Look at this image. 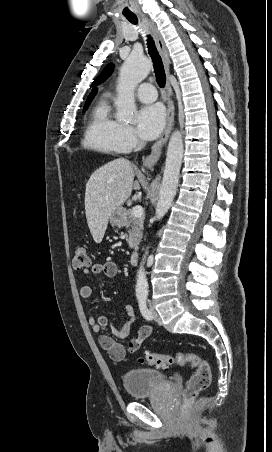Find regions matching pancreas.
Here are the masks:
<instances>
[{
    "label": "pancreas",
    "instance_id": "obj_1",
    "mask_svg": "<svg viewBox=\"0 0 272 452\" xmlns=\"http://www.w3.org/2000/svg\"><path fill=\"white\" fill-rule=\"evenodd\" d=\"M126 217L124 226L129 234L127 242L130 248L136 250L142 239L144 217H134L131 209L126 212Z\"/></svg>",
    "mask_w": 272,
    "mask_h": 452
}]
</instances>
